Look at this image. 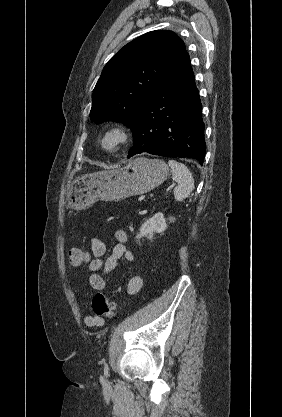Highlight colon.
Listing matches in <instances>:
<instances>
[{"label":"colon","mask_w":282,"mask_h":417,"mask_svg":"<svg viewBox=\"0 0 282 417\" xmlns=\"http://www.w3.org/2000/svg\"><path fill=\"white\" fill-rule=\"evenodd\" d=\"M70 262L73 266L85 264L88 261V254L81 248H73L69 253ZM92 308L97 316L112 318L115 313V306L107 297L96 294L92 300Z\"/></svg>","instance_id":"5ec220e1"}]
</instances>
